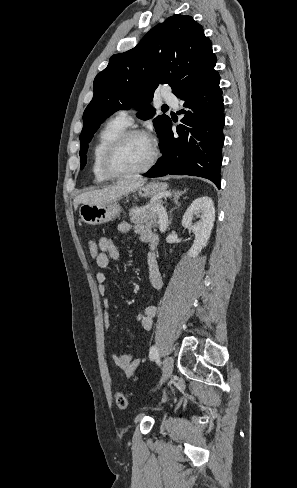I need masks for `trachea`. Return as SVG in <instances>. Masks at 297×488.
Here are the masks:
<instances>
[{
  "mask_svg": "<svg viewBox=\"0 0 297 488\" xmlns=\"http://www.w3.org/2000/svg\"><path fill=\"white\" fill-rule=\"evenodd\" d=\"M163 108H168V106L167 105H163Z\"/></svg>",
  "mask_w": 297,
  "mask_h": 488,
  "instance_id": "1",
  "label": "trachea"
}]
</instances>
